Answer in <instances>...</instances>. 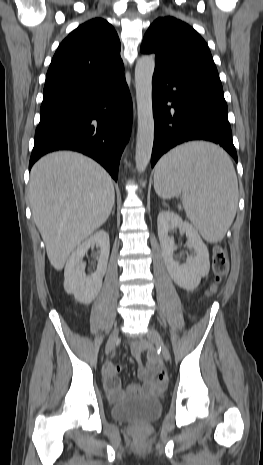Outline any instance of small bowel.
I'll return each mask as SVG.
<instances>
[{
    "label": "small bowel",
    "instance_id": "obj_1",
    "mask_svg": "<svg viewBox=\"0 0 263 465\" xmlns=\"http://www.w3.org/2000/svg\"><path fill=\"white\" fill-rule=\"evenodd\" d=\"M146 347V343L141 341L131 344L132 355L139 365V377L142 384H132L128 387V390L160 392L165 388L167 376L154 360H151L146 367L142 365L141 354ZM120 370L121 365L113 362H107L103 368L105 389L113 399H118L123 394L121 382L118 377Z\"/></svg>",
    "mask_w": 263,
    "mask_h": 465
}]
</instances>
